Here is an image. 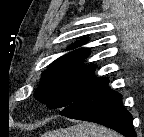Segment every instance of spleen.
Masks as SVG:
<instances>
[{
	"label": "spleen",
	"instance_id": "spleen-1",
	"mask_svg": "<svg viewBox=\"0 0 144 137\" xmlns=\"http://www.w3.org/2000/svg\"><path fill=\"white\" fill-rule=\"evenodd\" d=\"M62 137H121L118 133L90 122H81L59 131Z\"/></svg>",
	"mask_w": 144,
	"mask_h": 137
}]
</instances>
